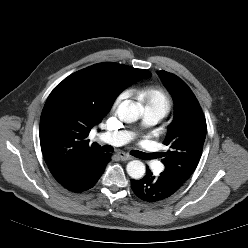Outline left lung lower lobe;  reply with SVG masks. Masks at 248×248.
<instances>
[{
    "instance_id": "left-lung-lower-lobe-1",
    "label": "left lung lower lobe",
    "mask_w": 248,
    "mask_h": 248,
    "mask_svg": "<svg viewBox=\"0 0 248 248\" xmlns=\"http://www.w3.org/2000/svg\"><path fill=\"white\" fill-rule=\"evenodd\" d=\"M140 180H131V187L137 197L147 202H157L172 196L177 190L166 181L162 173L155 177L147 168Z\"/></svg>"
}]
</instances>
